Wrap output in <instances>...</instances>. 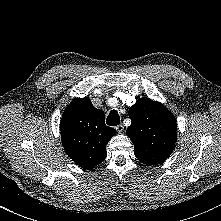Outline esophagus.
I'll list each match as a JSON object with an SVG mask.
<instances>
[{"label":"esophagus","mask_w":221,"mask_h":221,"mask_svg":"<svg viewBox=\"0 0 221 221\" xmlns=\"http://www.w3.org/2000/svg\"><path fill=\"white\" fill-rule=\"evenodd\" d=\"M116 130H117L118 132H123V130H124L123 124H119L118 126H116Z\"/></svg>","instance_id":"34e87169"}]
</instances>
